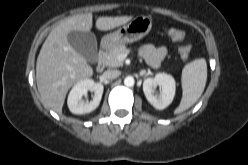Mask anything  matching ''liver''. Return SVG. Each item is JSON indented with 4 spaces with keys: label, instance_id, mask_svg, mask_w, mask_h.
<instances>
[{
    "label": "liver",
    "instance_id": "6515ba94",
    "mask_svg": "<svg viewBox=\"0 0 248 165\" xmlns=\"http://www.w3.org/2000/svg\"><path fill=\"white\" fill-rule=\"evenodd\" d=\"M92 13L80 14L62 20L52 29L42 45L36 62V83L44 107L62 112L68 90L78 81L92 76L87 60L69 44L70 31H90ZM131 16L100 17L98 30L107 31L124 25Z\"/></svg>",
    "mask_w": 248,
    "mask_h": 165
}]
</instances>
